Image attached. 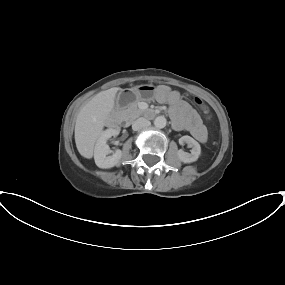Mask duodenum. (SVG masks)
Listing matches in <instances>:
<instances>
[{
    "instance_id": "obj_1",
    "label": "duodenum",
    "mask_w": 285,
    "mask_h": 285,
    "mask_svg": "<svg viewBox=\"0 0 285 285\" xmlns=\"http://www.w3.org/2000/svg\"><path fill=\"white\" fill-rule=\"evenodd\" d=\"M143 116L146 118H154L158 115V111L155 109H146L142 112ZM119 124L124 125L125 122L121 118H117Z\"/></svg>"
}]
</instances>
